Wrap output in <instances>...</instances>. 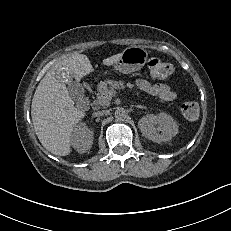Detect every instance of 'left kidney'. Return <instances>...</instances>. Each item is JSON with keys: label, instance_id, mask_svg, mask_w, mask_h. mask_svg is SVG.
<instances>
[{"label": "left kidney", "instance_id": "obj_1", "mask_svg": "<svg viewBox=\"0 0 231 231\" xmlns=\"http://www.w3.org/2000/svg\"><path fill=\"white\" fill-rule=\"evenodd\" d=\"M138 126L146 138L156 143L169 141L178 133L176 121L164 112L158 115L148 114L142 117Z\"/></svg>", "mask_w": 231, "mask_h": 231}]
</instances>
